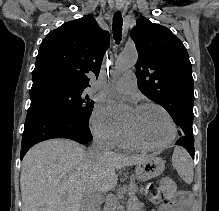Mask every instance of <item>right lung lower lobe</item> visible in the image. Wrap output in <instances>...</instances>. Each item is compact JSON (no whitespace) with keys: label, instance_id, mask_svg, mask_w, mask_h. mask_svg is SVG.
Instances as JSON below:
<instances>
[{"label":"right lung lower lobe","instance_id":"obj_1","mask_svg":"<svg viewBox=\"0 0 219 211\" xmlns=\"http://www.w3.org/2000/svg\"><path fill=\"white\" fill-rule=\"evenodd\" d=\"M88 124L89 121L76 118L50 100L31 101L22 136L21 159L33 145L52 138L88 144L93 139Z\"/></svg>","mask_w":219,"mask_h":211}]
</instances>
